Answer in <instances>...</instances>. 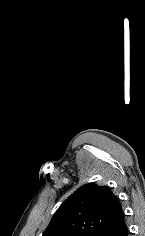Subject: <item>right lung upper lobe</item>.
<instances>
[{"label": "right lung upper lobe", "instance_id": "obj_1", "mask_svg": "<svg viewBox=\"0 0 145 236\" xmlns=\"http://www.w3.org/2000/svg\"><path fill=\"white\" fill-rule=\"evenodd\" d=\"M123 217L108 187L85 184L61 204L43 236H97Z\"/></svg>", "mask_w": 145, "mask_h": 236}]
</instances>
